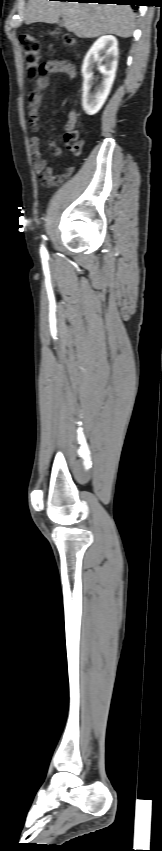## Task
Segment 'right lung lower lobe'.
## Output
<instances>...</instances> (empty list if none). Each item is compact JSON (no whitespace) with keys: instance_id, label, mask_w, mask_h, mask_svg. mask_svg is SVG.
Masks as SVG:
<instances>
[{"instance_id":"1","label":"right lung lower lobe","mask_w":162,"mask_h":851,"mask_svg":"<svg viewBox=\"0 0 162 851\" xmlns=\"http://www.w3.org/2000/svg\"><path fill=\"white\" fill-rule=\"evenodd\" d=\"M59 1H71V0H59ZM74 1L88 2V3H99V4L137 5V6H139L138 3L140 2V0H74Z\"/></svg>"}]
</instances>
